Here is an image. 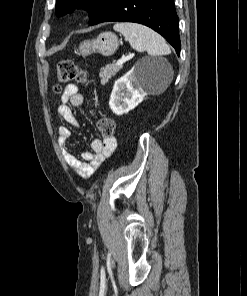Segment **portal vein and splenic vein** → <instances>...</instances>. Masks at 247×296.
Segmentation results:
<instances>
[{"instance_id": "1", "label": "portal vein and splenic vein", "mask_w": 247, "mask_h": 296, "mask_svg": "<svg viewBox=\"0 0 247 296\" xmlns=\"http://www.w3.org/2000/svg\"><path fill=\"white\" fill-rule=\"evenodd\" d=\"M130 59H131L130 55H128V56L123 55L120 59L117 60L116 65L117 66H122L126 61H128Z\"/></svg>"}]
</instances>
